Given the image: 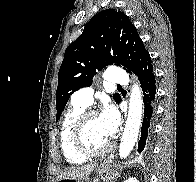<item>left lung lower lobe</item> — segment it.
<instances>
[{
  "label": "left lung lower lobe",
  "instance_id": "left-lung-lower-lobe-1",
  "mask_svg": "<svg viewBox=\"0 0 196 182\" xmlns=\"http://www.w3.org/2000/svg\"><path fill=\"white\" fill-rule=\"evenodd\" d=\"M134 73L138 76L144 95V118L141 127V137L138 142V152L141 156L147 157L154 135V123L156 118V79L149 54L144 57Z\"/></svg>",
  "mask_w": 196,
  "mask_h": 182
}]
</instances>
